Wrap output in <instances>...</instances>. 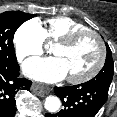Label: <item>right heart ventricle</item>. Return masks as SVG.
I'll list each match as a JSON object with an SVG mask.
<instances>
[{"mask_svg":"<svg viewBox=\"0 0 117 117\" xmlns=\"http://www.w3.org/2000/svg\"><path fill=\"white\" fill-rule=\"evenodd\" d=\"M41 27L44 40L51 42H56L70 32L86 28L82 23L66 16L47 19Z\"/></svg>","mask_w":117,"mask_h":117,"instance_id":"1","label":"right heart ventricle"}]
</instances>
